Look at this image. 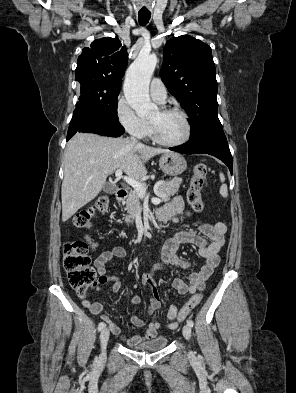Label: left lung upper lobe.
<instances>
[{
	"mask_svg": "<svg viewBox=\"0 0 296 393\" xmlns=\"http://www.w3.org/2000/svg\"><path fill=\"white\" fill-rule=\"evenodd\" d=\"M163 55L161 77L189 116V141L221 130L215 64L210 46L183 35L169 40Z\"/></svg>",
	"mask_w": 296,
	"mask_h": 393,
	"instance_id": "left-lung-upper-lobe-1",
	"label": "left lung upper lobe"
}]
</instances>
